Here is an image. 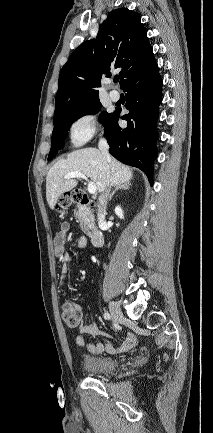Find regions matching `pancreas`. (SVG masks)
Returning <instances> with one entry per match:
<instances>
[{"label":"pancreas","mask_w":213,"mask_h":433,"mask_svg":"<svg viewBox=\"0 0 213 433\" xmlns=\"http://www.w3.org/2000/svg\"><path fill=\"white\" fill-rule=\"evenodd\" d=\"M75 216L80 222L81 229L84 232L88 233L90 227L93 226L94 223V215L92 211L85 206L78 205V209L75 212Z\"/></svg>","instance_id":"cf45deb5"}]
</instances>
